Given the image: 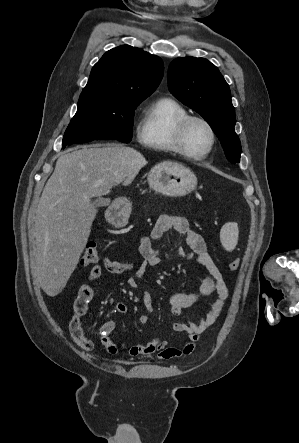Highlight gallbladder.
Wrapping results in <instances>:
<instances>
[{
  "label": "gallbladder",
  "mask_w": 299,
  "mask_h": 443,
  "mask_svg": "<svg viewBox=\"0 0 299 443\" xmlns=\"http://www.w3.org/2000/svg\"><path fill=\"white\" fill-rule=\"evenodd\" d=\"M94 205L96 207L107 206V205H109V200L108 199L99 198V199L95 200Z\"/></svg>",
  "instance_id": "obj_1"
}]
</instances>
